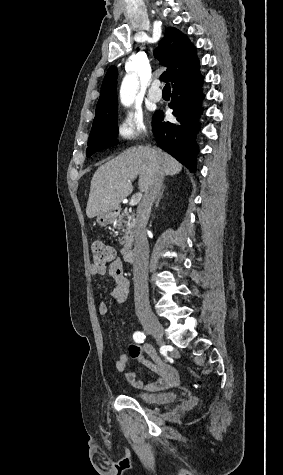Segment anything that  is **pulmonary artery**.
<instances>
[{"instance_id": "e3ab8cb5", "label": "pulmonary artery", "mask_w": 283, "mask_h": 475, "mask_svg": "<svg viewBox=\"0 0 283 475\" xmlns=\"http://www.w3.org/2000/svg\"><path fill=\"white\" fill-rule=\"evenodd\" d=\"M160 85L161 84H153L152 83V88H151L150 93H149V98L153 102H159L160 99H161L160 97H157V96H161L162 93H163V90L160 87ZM122 90H139V89H122Z\"/></svg>"}]
</instances>
